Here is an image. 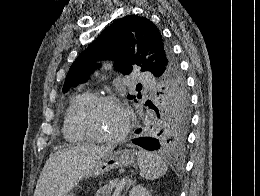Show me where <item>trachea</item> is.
<instances>
[{
    "instance_id": "obj_1",
    "label": "trachea",
    "mask_w": 260,
    "mask_h": 196,
    "mask_svg": "<svg viewBox=\"0 0 260 196\" xmlns=\"http://www.w3.org/2000/svg\"><path fill=\"white\" fill-rule=\"evenodd\" d=\"M136 88H142V85H137V87Z\"/></svg>"
}]
</instances>
